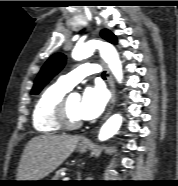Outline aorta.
I'll return each mask as SVG.
<instances>
[{
  "mask_svg": "<svg viewBox=\"0 0 178 186\" xmlns=\"http://www.w3.org/2000/svg\"><path fill=\"white\" fill-rule=\"evenodd\" d=\"M98 49L101 57L108 64L112 74L118 82L123 79L122 64L116 49L109 43L100 40H90L86 43L77 45L72 51V58L80 61L88 58ZM122 116L120 114L112 115L101 127L98 139L105 141L111 138L120 129Z\"/></svg>",
  "mask_w": 178,
  "mask_h": 186,
  "instance_id": "1",
  "label": "aorta"
}]
</instances>
